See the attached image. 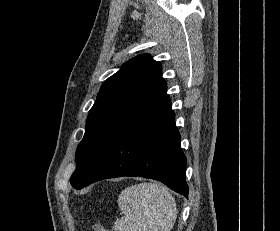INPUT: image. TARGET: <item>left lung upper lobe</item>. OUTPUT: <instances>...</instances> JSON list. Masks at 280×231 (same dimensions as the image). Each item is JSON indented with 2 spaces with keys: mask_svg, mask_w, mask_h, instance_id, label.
Masks as SVG:
<instances>
[{
  "mask_svg": "<svg viewBox=\"0 0 280 231\" xmlns=\"http://www.w3.org/2000/svg\"><path fill=\"white\" fill-rule=\"evenodd\" d=\"M159 62L137 56L101 86L86 121L85 135L76 150V170L70 178L76 188L106 145L123 129L152 112L167 97Z\"/></svg>",
  "mask_w": 280,
  "mask_h": 231,
  "instance_id": "obj_1",
  "label": "left lung upper lobe"
}]
</instances>
